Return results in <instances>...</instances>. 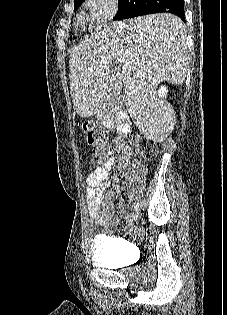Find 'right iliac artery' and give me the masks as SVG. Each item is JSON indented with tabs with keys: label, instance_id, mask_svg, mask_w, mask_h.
I'll return each mask as SVG.
<instances>
[{
	"label": "right iliac artery",
	"instance_id": "1",
	"mask_svg": "<svg viewBox=\"0 0 227 315\" xmlns=\"http://www.w3.org/2000/svg\"><path fill=\"white\" fill-rule=\"evenodd\" d=\"M133 209H134V211H137V210H138V202L134 203Z\"/></svg>",
	"mask_w": 227,
	"mask_h": 315
}]
</instances>
